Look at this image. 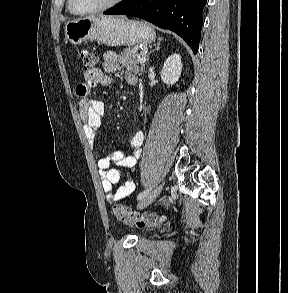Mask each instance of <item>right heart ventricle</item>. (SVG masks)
<instances>
[{
	"instance_id": "obj_1",
	"label": "right heart ventricle",
	"mask_w": 288,
	"mask_h": 293,
	"mask_svg": "<svg viewBox=\"0 0 288 293\" xmlns=\"http://www.w3.org/2000/svg\"><path fill=\"white\" fill-rule=\"evenodd\" d=\"M68 9H69V12H70V13L75 14V13H73L72 10L70 9L69 4H68Z\"/></svg>"
}]
</instances>
